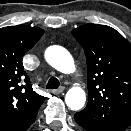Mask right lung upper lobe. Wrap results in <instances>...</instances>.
<instances>
[{
    "label": "right lung upper lobe",
    "mask_w": 131,
    "mask_h": 131,
    "mask_svg": "<svg viewBox=\"0 0 131 131\" xmlns=\"http://www.w3.org/2000/svg\"><path fill=\"white\" fill-rule=\"evenodd\" d=\"M43 33L38 27L26 25L0 29V125L29 119L46 99L33 90L22 64L23 55Z\"/></svg>",
    "instance_id": "1"
}]
</instances>
